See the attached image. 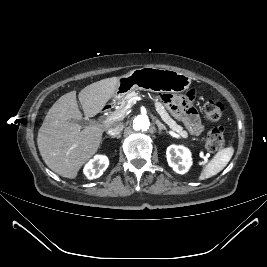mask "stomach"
<instances>
[{
  "mask_svg": "<svg viewBox=\"0 0 267 267\" xmlns=\"http://www.w3.org/2000/svg\"><path fill=\"white\" fill-rule=\"evenodd\" d=\"M191 78L184 73L170 69L142 67L119 78L114 99L121 100L133 90H149L179 93L187 90Z\"/></svg>",
  "mask_w": 267,
  "mask_h": 267,
  "instance_id": "stomach-1",
  "label": "stomach"
}]
</instances>
